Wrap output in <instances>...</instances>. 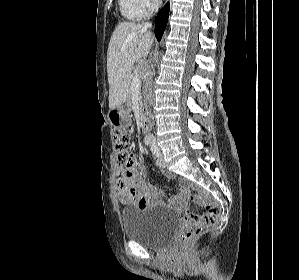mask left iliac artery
Masks as SVG:
<instances>
[{"mask_svg":"<svg viewBox=\"0 0 299 280\" xmlns=\"http://www.w3.org/2000/svg\"><path fill=\"white\" fill-rule=\"evenodd\" d=\"M151 152L153 153L154 156L158 157L160 155V150L157 146V144L155 143V141H153L151 143Z\"/></svg>","mask_w":299,"mask_h":280,"instance_id":"44dca946","label":"left iliac artery"}]
</instances>
